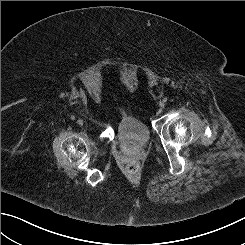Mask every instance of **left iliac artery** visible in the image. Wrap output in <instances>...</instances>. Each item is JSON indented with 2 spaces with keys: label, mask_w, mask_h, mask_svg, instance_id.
<instances>
[{
  "label": "left iliac artery",
  "mask_w": 245,
  "mask_h": 245,
  "mask_svg": "<svg viewBox=\"0 0 245 245\" xmlns=\"http://www.w3.org/2000/svg\"><path fill=\"white\" fill-rule=\"evenodd\" d=\"M163 101H164V102H167V98L165 97V98L163 99Z\"/></svg>",
  "instance_id": "obj_1"
}]
</instances>
